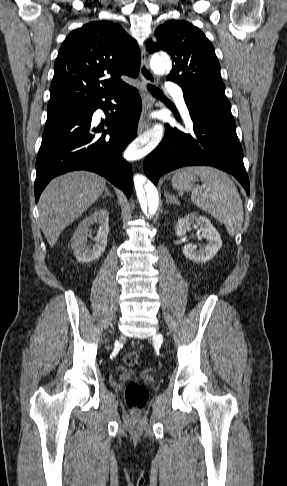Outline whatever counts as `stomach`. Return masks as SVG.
Instances as JSON below:
<instances>
[{
	"mask_svg": "<svg viewBox=\"0 0 287 486\" xmlns=\"http://www.w3.org/2000/svg\"><path fill=\"white\" fill-rule=\"evenodd\" d=\"M196 182V174L190 168L177 171L172 177V186L179 191H189Z\"/></svg>",
	"mask_w": 287,
	"mask_h": 486,
	"instance_id": "stomach-1",
	"label": "stomach"
}]
</instances>
